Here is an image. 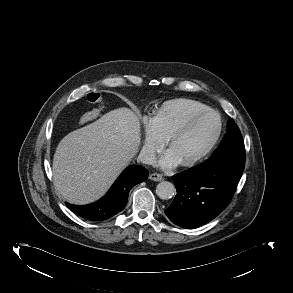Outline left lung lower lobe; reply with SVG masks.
<instances>
[{
    "mask_svg": "<svg viewBox=\"0 0 293 293\" xmlns=\"http://www.w3.org/2000/svg\"><path fill=\"white\" fill-rule=\"evenodd\" d=\"M221 156L172 177L177 195L165 214L176 225L197 228L230 203L245 166V147L223 148Z\"/></svg>",
    "mask_w": 293,
    "mask_h": 293,
    "instance_id": "obj_1",
    "label": "left lung lower lobe"
}]
</instances>
